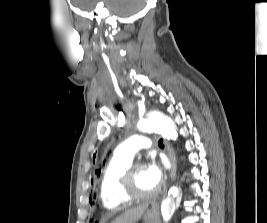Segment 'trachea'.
Here are the masks:
<instances>
[{
    "label": "trachea",
    "instance_id": "3493384b",
    "mask_svg": "<svg viewBox=\"0 0 267 223\" xmlns=\"http://www.w3.org/2000/svg\"><path fill=\"white\" fill-rule=\"evenodd\" d=\"M158 145H159V146H164V145H163V139H160V140H159Z\"/></svg>",
    "mask_w": 267,
    "mask_h": 223
}]
</instances>
